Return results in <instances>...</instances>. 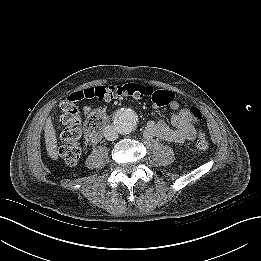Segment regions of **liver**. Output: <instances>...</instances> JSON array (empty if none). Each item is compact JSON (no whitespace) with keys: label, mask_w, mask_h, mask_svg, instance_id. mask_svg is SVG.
Segmentation results:
<instances>
[{"label":"liver","mask_w":261,"mask_h":261,"mask_svg":"<svg viewBox=\"0 0 261 261\" xmlns=\"http://www.w3.org/2000/svg\"><path fill=\"white\" fill-rule=\"evenodd\" d=\"M44 137H45L46 150L48 156L52 160H57L58 159L57 137L51 118H47L46 120L45 127H44Z\"/></svg>","instance_id":"6515ba94"}]
</instances>
